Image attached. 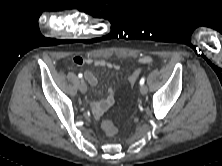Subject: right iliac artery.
<instances>
[{
    "label": "right iliac artery",
    "instance_id": "1",
    "mask_svg": "<svg viewBox=\"0 0 222 166\" xmlns=\"http://www.w3.org/2000/svg\"><path fill=\"white\" fill-rule=\"evenodd\" d=\"M82 76H83V75H82L81 73L78 74V77H79V78H82ZM81 82H83V81H81Z\"/></svg>",
    "mask_w": 222,
    "mask_h": 166
}]
</instances>
